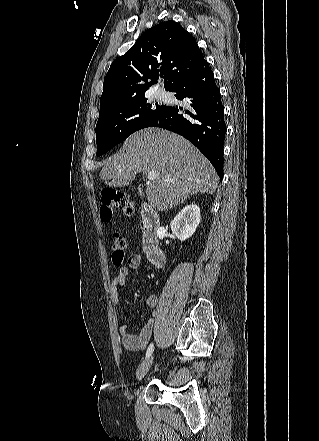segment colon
Here are the masks:
<instances>
[{
    "label": "colon",
    "mask_w": 319,
    "mask_h": 441,
    "mask_svg": "<svg viewBox=\"0 0 319 441\" xmlns=\"http://www.w3.org/2000/svg\"><path fill=\"white\" fill-rule=\"evenodd\" d=\"M101 202L100 217L105 223L112 221L114 208L122 210L127 215H131L134 212V204L129 197L114 189L104 190ZM111 248L113 261L116 265H119L127 250L126 239L121 233L115 232L113 234Z\"/></svg>",
    "instance_id": "1"
}]
</instances>
